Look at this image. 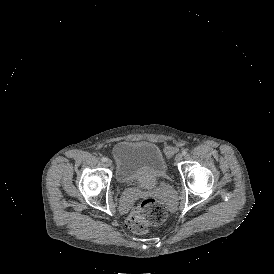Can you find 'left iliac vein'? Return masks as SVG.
<instances>
[{"mask_svg": "<svg viewBox=\"0 0 274 274\" xmlns=\"http://www.w3.org/2000/svg\"><path fill=\"white\" fill-rule=\"evenodd\" d=\"M182 159H183V155L180 154V153H178V154L175 156V162H176V163L181 162Z\"/></svg>", "mask_w": 274, "mask_h": 274, "instance_id": "left-iliac-vein-1", "label": "left iliac vein"}]
</instances>
